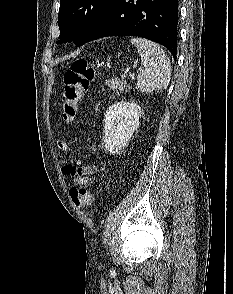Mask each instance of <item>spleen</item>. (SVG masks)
<instances>
[{
	"instance_id": "obj_1",
	"label": "spleen",
	"mask_w": 233,
	"mask_h": 294,
	"mask_svg": "<svg viewBox=\"0 0 233 294\" xmlns=\"http://www.w3.org/2000/svg\"><path fill=\"white\" fill-rule=\"evenodd\" d=\"M131 43L138 50L143 70L138 74L137 87L144 93L166 89L171 77L170 61L163 49L144 38H132Z\"/></svg>"
}]
</instances>
